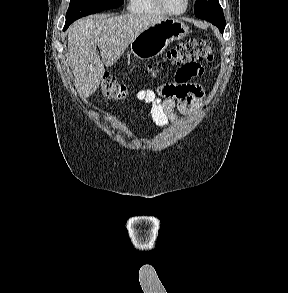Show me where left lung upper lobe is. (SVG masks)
<instances>
[{
  "label": "left lung upper lobe",
  "instance_id": "left-lung-upper-lobe-1",
  "mask_svg": "<svg viewBox=\"0 0 288 293\" xmlns=\"http://www.w3.org/2000/svg\"><path fill=\"white\" fill-rule=\"evenodd\" d=\"M195 16L208 20L223 33L225 18L218 0H195Z\"/></svg>",
  "mask_w": 288,
  "mask_h": 293
}]
</instances>
